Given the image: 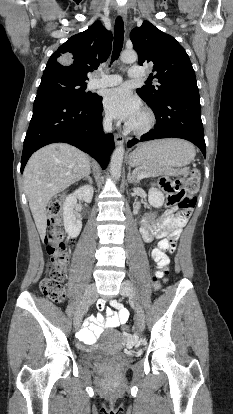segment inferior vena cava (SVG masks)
Segmentation results:
<instances>
[{"mask_svg": "<svg viewBox=\"0 0 233 414\" xmlns=\"http://www.w3.org/2000/svg\"><path fill=\"white\" fill-rule=\"evenodd\" d=\"M103 127L106 132H110L112 129V120L106 119L103 123Z\"/></svg>", "mask_w": 233, "mask_h": 414, "instance_id": "inferior-vena-cava-1", "label": "inferior vena cava"}]
</instances>
